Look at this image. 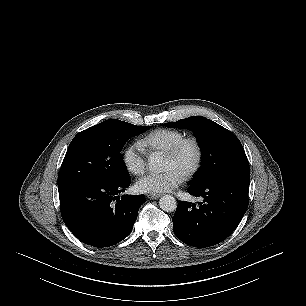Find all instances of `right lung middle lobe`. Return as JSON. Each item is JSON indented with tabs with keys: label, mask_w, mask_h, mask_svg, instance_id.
Listing matches in <instances>:
<instances>
[{
	"label": "right lung middle lobe",
	"mask_w": 306,
	"mask_h": 306,
	"mask_svg": "<svg viewBox=\"0 0 306 306\" xmlns=\"http://www.w3.org/2000/svg\"><path fill=\"white\" fill-rule=\"evenodd\" d=\"M150 128L111 119L79 132L62 162L58 190L92 179L119 182L129 178L120 152L129 138Z\"/></svg>",
	"instance_id": "right-lung-middle-lobe-1"
}]
</instances>
